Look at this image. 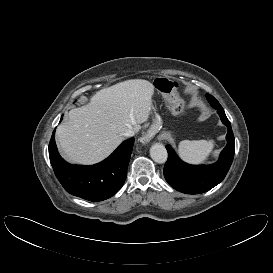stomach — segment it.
Masks as SVG:
<instances>
[{
  "mask_svg": "<svg viewBox=\"0 0 273 273\" xmlns=\"http://www.w3.org/2000/svg\"><path fill=\"white\" fill-rule=\"evenodd\" d=\"M154 85L158 93H160L164 98H171L177 92L175 83L166 77H157ZM161 127L162 119L157 113H155L152 128L159 130Z\"/></svg>",
  "mask_w": 273,
  "mask_h": 273,
  "instance_id": "obj_1",
  "label": "stomach"
}]
</instances>
